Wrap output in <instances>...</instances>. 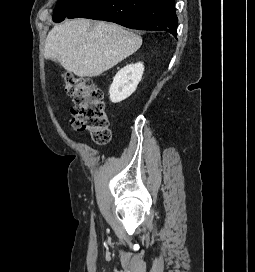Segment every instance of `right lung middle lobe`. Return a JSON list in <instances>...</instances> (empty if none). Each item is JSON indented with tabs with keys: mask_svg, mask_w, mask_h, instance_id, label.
<instances>
[{
	"mask_svg": "<svg viewBox=\"0 0 255 272\" xmlns=\"http://www.w3.org/2000/svg\"><path fill=\"white\" fill-rule=\"evenodd\" d=\"M90 0H59L54 10V22H61Z\"/></svg>",
	"mask_w": 255,
	"mask_h": 272,
	"instance_id": "obj_1",
	"label": "right lung middle lobe"
}]
</instances>
